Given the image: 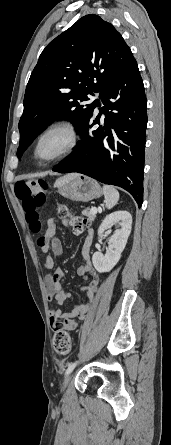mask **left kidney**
Returning a JSON list of instances; mask_svg holds the SVG:
<instances>
[{
  "label": "left kidney",
  "instance_id": "left-kidney-1",
  "mask_svg": "<svg viewBox=\"0 0 171 445\" xmlns=\"http://www.w3.org/2000/svg\"><path fill=\"white\" fill-rule=\"evenodd\" d=\"M114 224L120 228L111 236L106 254L103 255L98 251L92 256L93 265L99 273L109 272L120 260L132 229L131 214L122 210L109 214L99 226V237L111 229Z\"/></svg>",
  "mask_w": 171,
  "mask_h": 445
}]
</instances>
